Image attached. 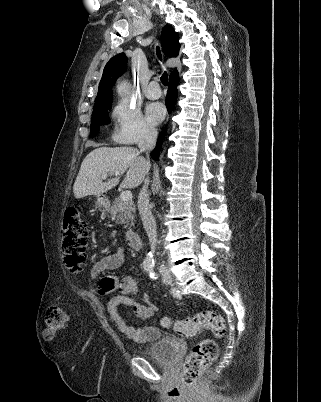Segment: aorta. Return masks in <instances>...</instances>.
Segmentation results:
<instances>
[{"label": "aorta", "mask_w": 321, "mask_h": 402, "mask_svg": "<svg viewBox=\"0 0 321 402\" xmlns=\"http://www.w3.org/2000/svg\"><path fill=\"white\" fill-rule=\"evenodd\" d=\"M117 92L121 97L127 96L131 94V90H130V85L124 81L122 83H120L117 86ZM144 267H146L148 270H151L153 268L154 265V259H153V255L152 253H148L144 262H143Z\"/></svg>", "instance_id": "762f6f07"}]
</instances>
